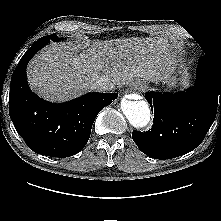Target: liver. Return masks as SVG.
Listing matches in <instances>:
<instances>
[{"mask_svg":"<svg viewBox=\"0 0 221 221\" xmlns=\"http://www.w3.org/2000/svg\"><path fill=\"white\" fill-rule=\"evenodd\" d=\"M174 64L172 45L163 38L98 40L78 56L70 46L51 43L29 63L27 79L42 98L63 102L91 90L101 77L119 86L133 79L165 80Z\"/></svg>","mask_w":221,"mask_h":221,"instance_id":"liver-1","label":"liver"}]
</instances>
